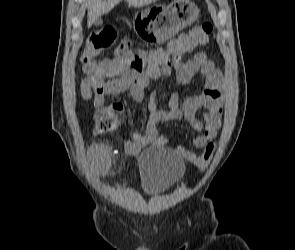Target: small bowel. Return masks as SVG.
Returning <instances> with one entry per match:
<instances>
[{"mask_svg":"<svg viewBox=\"0 0 295 250\" xmlns=\"http://www.w3.org/2000/svg\"><path fill=\"white\" fill-rule=\"evenodd\" d=\"M131 40L124 39L116 48L111 63V70L105 74H88L81 82L80 91L84 99L90 100L95 109L104 106L107 97L119 96L128 92L132 99L141 102L145 90L153 79L168 77L175 71L178 84H186L198 72L205 78L203 90L180 101L178 94L173 93L160 107L153 91L150 95L149 117L143 131L136 130L133 139L124 145L129 155H137L145 146L162 147L168 143L164 135H160L157 126L163 122L184 119L198 133L192 139L195 148H204L213 142L221 127L224 109L221 72L206 54L196 53L192 58L184 60L193 48L180 49L176 40L169 43L167 49L142 50L130 48ZM118 112L124 114L123 106L114 104ZM205 109L202 119L196 113ZM175 150L186 159L194 154L183 146ZM94 169L105 173L110 165L111 149L105 144L93 145L88 153Z\"/></svg>","mask_w":295,"mask_h":250,"instance_id":"1","label":"small bowel"}]
</instances>
